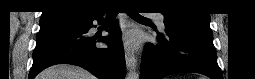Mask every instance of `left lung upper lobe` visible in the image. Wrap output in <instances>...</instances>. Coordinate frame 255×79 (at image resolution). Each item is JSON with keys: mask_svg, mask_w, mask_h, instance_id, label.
I'll use <instances>...</instances> for the list:
<instances>
[{"mask_svg": "<svg viewBox=\"0 0 255 79\" xmlns=\"http://www.w3.org/2000/svg\"><path fill=\"white\" fill-rule=\"evenodd\" d=\"M159 8L164 15L166 30L179 27H205L210 28V16L201 12L181 11V3L175 0L159 1Z\"/></svg>", "mask_w": 255, "mask_h": 79, "instance_id": "obj_1", "label": "left lung upper lobe"}]
</instances>
